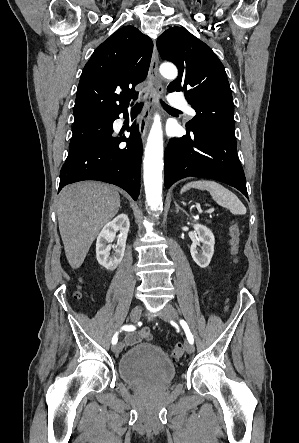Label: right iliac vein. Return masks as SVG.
I'll return each mask as SVG.
<instances>
[{"mask_svg":"<svg viewBox=\"0 0 299 443\" xmlns=\"http://www.w3.org/2000/svg\"><path fill=\"white\" fill-rule=\"evenodd\" d=\"M142 313V306L141 305H137L135 306L130 313V319L132 322H137L140 319ZM123 348V344L121 342H119L118 344H116L115 346H113L112 351L118 355Z\"/></svg>","mask_w":299,"mask_h":443,"instance_id":"right-iliac-vein-1","label":"right iliac vein"}]
</instances>
